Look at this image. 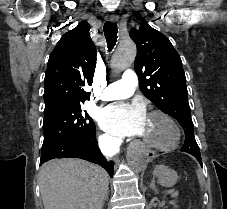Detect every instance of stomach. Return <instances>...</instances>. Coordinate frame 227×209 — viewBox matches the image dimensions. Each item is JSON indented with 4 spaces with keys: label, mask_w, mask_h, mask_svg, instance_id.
Wrapping results in <instances>:
<instances>
[{
    "label": "stomach",
    "mask_w": 227,
    "mask_h": 209,
    "mask_svg": "<svg viewBox=\"0 0 227 209\" xmlns=\"http://www.w3.org/2000/svg\"><path fill=\"white\" fill-rule=\"evenodd\" d=\"M155 174L158 178L159 184L163 187H172L178 180L177 173L164 165L157 166L155 168Z\"/></svg>",
    "instance_id": "0dacf381"
}]
</instances>
